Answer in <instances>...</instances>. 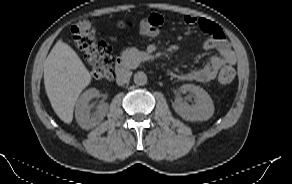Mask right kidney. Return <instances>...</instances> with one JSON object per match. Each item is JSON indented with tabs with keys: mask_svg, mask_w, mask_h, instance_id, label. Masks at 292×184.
Returning <instances> with one entry per match:
<instances>
[{
	"mask_svg": "<svg viewBox=\"0 0 292 184\" xmlns=\"http://www.w3.org/2000/svg\"><path fill=\"white\" fill-rule=\"evenodd\" d=\"M99 96V91L95 88L86 90L78 99L75 109V117L83 129L89 130L98 125L108 112V104L103 103L94 111H91L89 102L91 99Z\"/></svg>",
	"mask_w": 292,
	"mask_h": 184,
	"instance_id": "ca27d5eb",
	"label": "right kidney"
}]
</instances>
